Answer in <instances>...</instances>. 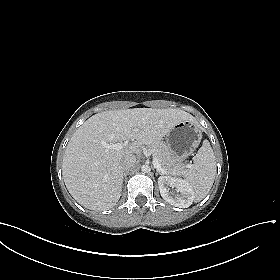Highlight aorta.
I'll return each instance as SVG.
<instances>
[{"label":"aorta","instance_id":"obj_1","mask_svg":"<svg viewBox=\"0 0 280 280\" xmlns=\"http://www.w3.org/2000/svg\"><path fill=\"white\" fill-rule=\"evenodd\" d=\"M141 170L143 173H148L150 171V166L147 164L142 165Z\"/></svg>","mask_w":280,"mask_h":280}]
</instances>
